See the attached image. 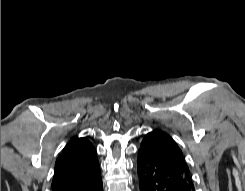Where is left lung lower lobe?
<instances>
[{
  "label": "left lung lower lobe",
  "instance_id": "1",
  "mask_svg": "<svg viewBox=\"0 0 245 191\" xmlns=\"http://www.w3.org/2000/svg\"><path fill=\"white\" fill-rule=\"evenodd\" d=\"M140 191H195L191 176L183 170L138 151Z\"/></svg>",
  "mask_w": 245,
  "mask_h": 191
}]
</instances>
